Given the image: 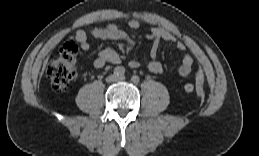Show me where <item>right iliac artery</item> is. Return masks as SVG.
Here are the masks:
<instances>
[{
  "instance_id": "82829eb1",
  "label": "right iliac artery",
  "mask_w": 259,
  "mask_h": 156,
  "mask_svg": "<svg viewBox=\"0 0 259 156\" xmlns=\"http://www.w3.org/2000/svg\"><path fill=\"white\" fill-rule=\"evenodd\" d=\"M113 73L117 76H122L125 74V68L122 66H118L113 70Z\"/></svg>"
}]
</instances>
